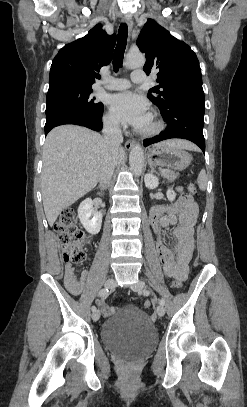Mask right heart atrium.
<instances>
[{"label": "right heart atrium", "instance_id": "d8ad5b80", "mask_svg": "<svg viewBox=\"0 0 247 407\" xmlns=\"http://www.w3.org/2000/svg\"><path fill=\"white\" fill-rule=\"evenodd\" d=\"M104 123L111 129H117L119 127V123L112 113L105 114Z\"/></svg>", "mask_w": 247, "mask_h": 407}]
</instances>
